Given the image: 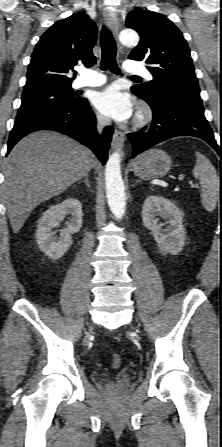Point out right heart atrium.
<instances>
[{
	"label": "right heart atrium",
	"mask_w": 222,
	"mask_h": 447,
	"mask_svg": "<svg viewBox=\"0 0 222 447\" xmlns=\"http://www.w3.org/2000/svg\"><path fill=\"white\" fill-rule=\"evenodd\" d=\"M94 122H95L98 126L103 127V126H105V125L107 124V119H106L103 115H101V114H99V113H96V114L94 115Z\"/></svg>",
	"instance_id": "obj_1"
}]
</instances>
